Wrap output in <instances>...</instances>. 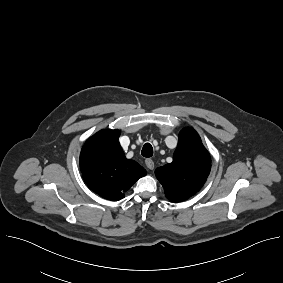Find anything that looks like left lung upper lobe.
<instances>
[{
  "label": "left lung upper lobe",
  "mask_w": 283,
  "mask_h": 283,
  "mask_svg": "<svg viewBox=\"0 0 283 283\" xmlns=\"http://www.w3.org/2000/svg\"><path fill=\"white\" fill-rule=\"evenodd\" d=\"M178 138L173 162L155 170L166 197L173 202L183 201L199 191L211 168L210 155L195 130L184 128Z\"/></svg>",
  "instance_id": "5c2ea615"
}]
</instances>
